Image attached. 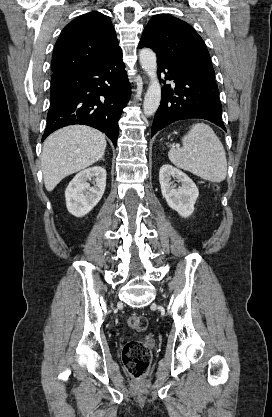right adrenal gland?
<instances>
[{
  "label": "right adrenal gland",
  "instance_id": "obj_1",
  "mask_svg": "<svg viewBox=\"0 0 272 417\" xmlns=\"http://www.w3.org/2000/svg\"><path fill=\"white\" fill-rule=\"evenodd\" d=\"M101 160L104 161V158L102 157Z\"/></svg>",
  "mask_w": 272,
  "mask_h": 417
}]
</instances>
